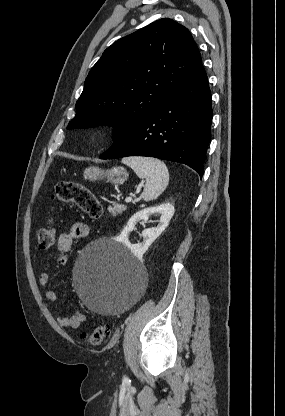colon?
I'll return each mask as SVG.
<instances>
[{
  "label": "colon",
  "mask_w": 285,
  "mask_h": 416,
  "mask_svg": "<svg viewBox=\"0 0 285 416\" xmlns=\"http://www.w3.org/2000/svg\"><path fill=\"white\" fill-rule=\"evenodd\" d=\"M53 200L57 202L69 203L77 206L91 219L98 220L103 215V207L97 196L86 186L74 181H61L56 184L53 194ZM57 230L53 220L40 229L37 234V249L45 251L51 248L56 240ZM110 331V326L106 323L98 325L85 338L91 345L102 344Z\"/></svg>",
  "instance_id": "5ec220e1"
}]
</instances>
